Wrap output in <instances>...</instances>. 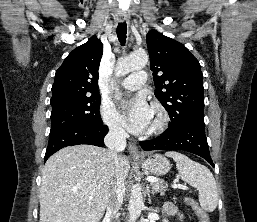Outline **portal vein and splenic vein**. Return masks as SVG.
Here are the masks:
<instances>
[{
  "label": "portal vein and splenic vein",
  "mask_w": 257,
  "mask_h": 222,
  "mask_svg": "<svg viewBox=\"0 0 257 222\" xmlns=\"http://www.w3.org/2000/svg\"><path fill=\"white\" fill-rule=\"evenodd\" d=\"M147 180H148L149 182H151V183H157V182H159V180L156 179V178H154V177H147ZM172 187H173V188H178V189H184V190L188 189L186 186H183V185H180V184H173ZM88 199H89V200H92L93 197H92V196H89Z\"/></svg>",
  "instance_id": "obj_1"
}]
</instances>
